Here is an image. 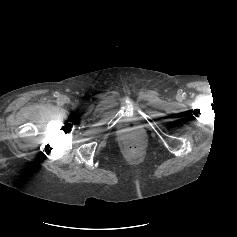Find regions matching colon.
Returning <instances> with one entry per match:
<instances>
[{"label": "colon", "mask_w": 237, "mask_h": 237, "mask_svg": "<svg viewBox=\"0 0 237 237\" xmlns=\"http://www.w3.org/2000/svg\"><path fill=\"white\" fill-rule=\"evenodd\" d=\"M130 148H131V149H136L137 146H136V144L133 143V144L130 146Z\"/></svg>", "instance_id": "obj_1"}]
</instances>
